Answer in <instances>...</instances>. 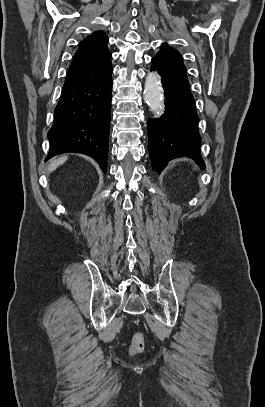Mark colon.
<instances>
[{"instance_id": "colon-1", "label": "colon", "mask_w": 265, "mask_h": 407, "mask_svg": "<svg viewBox=\"0 0 265 407\" xmlns=\"http://www.w3.org/2000/svg\"><path fill=\"white\" fill-rule=\"evenodd\" d=\"M144 349H145L144 335L141 332H136L133 335L129 351L132 355H136L142 353Z\"/></svg>"}]
</instances>
